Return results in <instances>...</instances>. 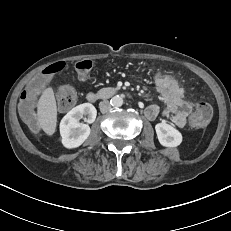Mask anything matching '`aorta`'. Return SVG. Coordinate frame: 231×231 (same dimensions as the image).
Here are the masks:
<instances>
[{
  "mask_svg": "<svg viewBox=\"0 0 231 231\" xmlns=\"http://www.w3.org/2000/svg\"><path fill=\"white\" fill-rule=\"evenodd\" d=\"M110 104L114 107V108H119L123 105V98L119 95H115L111 98L110 100Z\"/></svg>",
  "mask_w": 231,
  "mask_h": 231,
  "instance_id": "1",
  "label": "aorta"
}]
</instances>
